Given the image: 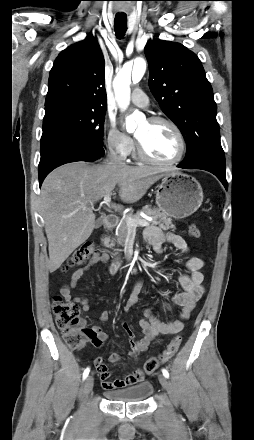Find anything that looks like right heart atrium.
<instances>
[{
    "mask_svg": "<svg viewBox=\"0 0 254 440\" xmlns=\"http://www.w3.org/2000/svg\"><path fill=\"white\" fill-rule=\"evenodd\" d=\"M106 145L110 151L122 158L128 157L134 149L133 138L110 122L106 130Z\"/></svg>",
    "mask_w": 254,
    "mask_h": 440,
    "instance_id": "obj_1",
    "label": "right heart atrium"
}]
</instances>
